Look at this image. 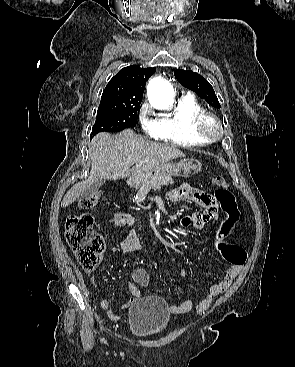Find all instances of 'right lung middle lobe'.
Listing matches in <instances>:
<instances>
[{"label": "right lung middle lobe", "mask_w": 295, "mask_h": 367, "mask_svg": "<svg viewBox=\"0 0 295 367\" xmlns=\"http://www.w3.org/2000/svg\"><path fill=\"white\" fill-rule=\"evenodd\" d=\"M141 101L102 100L98 107L91 138L99 132H119L136 126V115Z\"/></svg>", "instance_id": "dd1d6c3e"}]
</instances>
